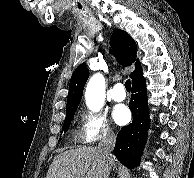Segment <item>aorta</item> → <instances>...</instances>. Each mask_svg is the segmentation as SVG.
Returning <instances> with one entry per match:
<instances>
[{
	"label": "aorta",
	"instance_id": "1",
	"mask_svg": "<svg viewBox=\"0 0 194 178\" xmlns=\"http://www.w3.org/2000/svg\"><path fill=\"white\" fill-rule=\"evenodd\" d=\"M105 100V78L102 74H94L86 87L85 101L87 107L94 112H98L104 105Z\"/></svg>",
	"mask_w": 194,
	"mask_h": 178
}]
</instances>
